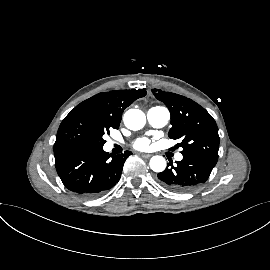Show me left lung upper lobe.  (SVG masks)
Masks as SVG:
<instances>
[{
    "mask_svg": "<svg viewBox=\"0 0 270 270\" xmlns=\"http://www.w3.org/2000/svg\"><path fill=\"white\" fill-rule=\"evenodd\" d=\"M154 96L164 102L171 113V139H180L176 146L183 155H194L217 163L220 138L215 120L199 104L184 96L152 89Z\"/></svg>",
    "mask_w": 270,
    "mask_h": 270,
    "instance_id": "5c2ea615",
    "label": "left lung upper lobe"
}]
</instances>
